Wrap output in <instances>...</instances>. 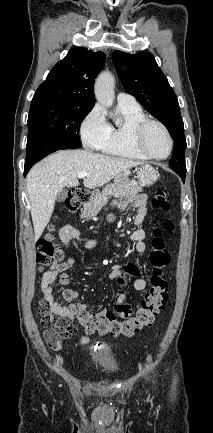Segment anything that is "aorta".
<instances>
[{
  "mask_svg": "<svg viewBox=\"0 0 213 433\" xmlns=\"http://www.w3.org/2000/svg\"><path fill=\"white\" fill-rule=\"evenodd\" d=\"M114 82V76L110 72H103L97 77L94 93L101 105L110 107L113 104Z\"/></svg>",
  "mask_w": 213,
  "mask_h": 433,
  "instance_id": "762f6f07",
  "label": "aorta"
}]
</instances>
